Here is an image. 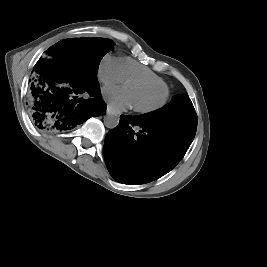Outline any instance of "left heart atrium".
<instances>
[{
    "label": "left heart atrium",
    "mask_w": 267,
    "mask_h": 267,
    "mask_svg": "<svg viewBox=\"0 0 267 267\" xmlns=\"http://www.w3.org/2000/svg\"><path fill=\"white\" fill-rule=\"evenodd\" d=\"M104 99L114 110H124L133 105L127 87H106L102 91Z\"/></svg>",
    "instance_id": "left-heart-atrium-1"
}]
</instances>
